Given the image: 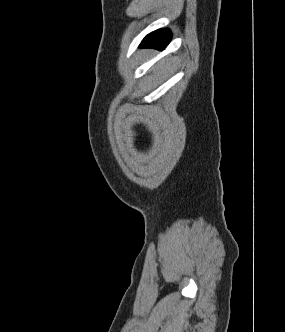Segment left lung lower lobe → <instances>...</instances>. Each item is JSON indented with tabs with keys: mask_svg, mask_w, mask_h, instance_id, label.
Instances as JSON below:
<instances>
[{
	"mask_svg": "<svg viewBox=\"0 0 285 332\" xmlns=\"http://www.w3.org/2000/svg\"><path fill=\"white\" fill-rule=\"evenodd\" d=\"M171 39V33L168 29H159L147 35L141 42L140 47H152L159 50L164 49Z\"/></svg>",
	"mask_w": 285,
	"mask_h": 332,
	"instance_id": "0a47b994",
	"label": "left lung lower lobe"
}]
</instances>
